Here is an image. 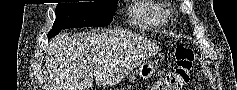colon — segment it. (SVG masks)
<instances>
[{
    "label": "colon",
    "instance_id": "colon-1",
    "mask_svg": "<svg viewBox=\"0 0 237 90\" xmlns=\"http://www.w3.org/2000/svg\"><path fill=\"white\" fill-rule=\"evenodd\" d=\"M175 69L156 82L149 90H182L190 81L194 63V53L184 45L175 50Z\"/></svg>",
    "mask_w": 237,
    "mask_h": 90
}]
</instances>
